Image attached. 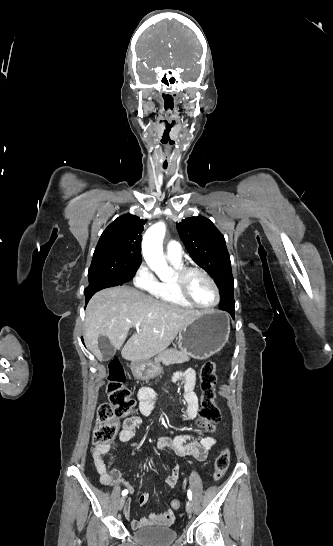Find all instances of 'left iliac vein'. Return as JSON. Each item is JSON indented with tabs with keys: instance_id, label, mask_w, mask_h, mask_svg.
<instances>
[{
	"instance_id": "4c4485c4",
	"label": "left iliac vein",
	"mask_w": 333,
	"mask_h": 546,
	"mask_svg": "<svg viewBox=\"0 0 333 546\" xmlns=\"http://www.w3.org/2000/svg\"><path fill=\"white\" fill-rule=\"evenodd\" d=\"M186 511L188 513H191L193 511V503L191 501H188L186 504Z\"/></svg>"
}]
</instances>
